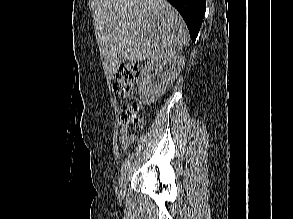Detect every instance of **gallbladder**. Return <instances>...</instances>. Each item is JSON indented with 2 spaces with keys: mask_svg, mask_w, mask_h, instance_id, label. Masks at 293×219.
Listing matches in <instances>:
<instances>
[{
  "mask_svg": "<svg viewBox=\"0 0 293 219\" xmlns=\"http://www.w3.org/2000/svg\"><path fill=\"white\" fill-rule=\"evenodd\" d=\"M120 60H121V62H122V63H124V62H125V60H124V58H123V57H122Z\"/></svg>",
  "mask_w": 293,
  "mask_h": 219,
  "instance_id": "1",
  "label": "gallbladder"
}]
</instances>
